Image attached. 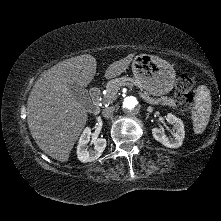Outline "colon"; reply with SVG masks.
<instances>
[{
	"label": "colon",
	"mask_w": 221,
	"mask_h": 221,
	"mask_svg": "<svg viewBox=\"0 0 221 221\" xmlns=\"http://www.w3.org/2000/svg\"><path fill=\"white\" fill-rule=\"evenodd\" d=\"M195 86V79L189 75L181 74L175 86L176 105L182 111H189L192 107V90Z\"/></svg>",
	"instance_id": "colon-1"
}]
</instances>
